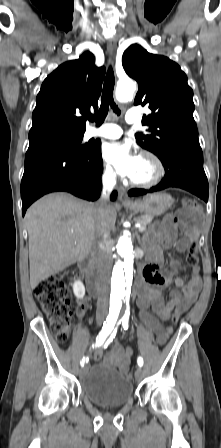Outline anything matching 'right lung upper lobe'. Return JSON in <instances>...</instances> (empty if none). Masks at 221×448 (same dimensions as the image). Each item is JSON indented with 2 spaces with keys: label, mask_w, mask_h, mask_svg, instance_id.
<instances>
[{
  "label": "right lung upper lobe",
  "mask_w": 221,
  "mask_h": 448,
  "mask_svg": "<svg viewBox=\"0 0 221 448\" xmlns=\"http://www.w3.org/2000/svg\"><path fill=\"white\" fill-rule=\"evenodd\" d=\"M104 74L105 67H96L90 52L54 70L37 95L28 149L84 134L87 115L98 108Z\"/></svg>",
  "instance_id": "cb5924a9"
}]
</instances>
